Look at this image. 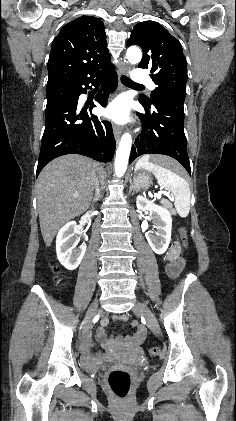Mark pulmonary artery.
<instances>
[{
	"mask_svg": "<svg viewBox=\"0 0 236 421\" xmlns=\"http://www.w3.org/2000/svg\"><path fill=\"white\" fill-rule=\"evenodd\" d=\"M135 83L137 86H151L153 80L148 76V71L146 69H134L132 72Z\"/></svg>",
	"mask_w": 236,
	"mask_h": 421,
	"instance_id": "e3ab8cb5",
	"label": "pulmonary artery"
}]
</instances>
